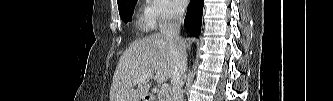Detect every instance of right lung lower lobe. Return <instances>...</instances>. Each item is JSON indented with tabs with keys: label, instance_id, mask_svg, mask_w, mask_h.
I'll list each match as a JSON object with an SVG mask.
<instances>
[{
	"label": "right lung lower lobe",
	"instance_id": "obj_1",
	"mask_svg": "<svg viewBox=\"0 0 333 101\" xmlns=\"http://www.w3.org/2000/svg\"><path fill=\"white\" fill-rule=\"evenodd\" d=\"M203 1L204 0H190L184 21L188 32L195 37L199 36L201 30Z\"/></svg>",
	"mask_w": 333,
	"mask_h": 101
}]
</instances>
